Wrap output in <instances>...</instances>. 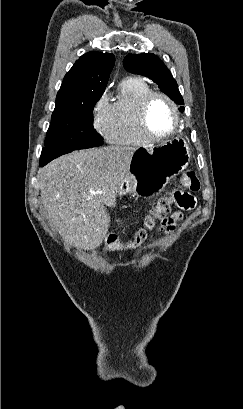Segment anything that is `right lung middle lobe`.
<instances>
[{
    "instance_id": "obj_1",
    "label": "right lung middle lobe",
    "mask_w": 243,
    "mask_h": 409,
    "mask_svg": "<svg viewBox=\"0 0 243 409\" xmlns=\"http://www.w3.org/2000/svg\"><path fill=\"white\" fill-rule=\"evenodd\" d=\"M95 104H56L44 149L79 150L102 145L92 124Z\"/></svg>"
}]
</instances>
